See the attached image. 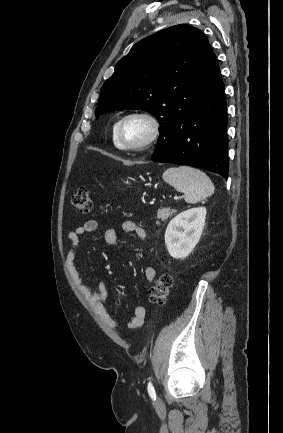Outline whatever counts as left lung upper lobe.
Returning <instances> with one entry per match:
<instances>
[{
    "instance_id": "5c2ea615",
    "label": "left lung upper lobe",
    "mask_w": 283,
    "mask_h": 433,
    "mask_svg": "<svg viewBox=\"0 0 283 433\" xmlns=\"http://www.w3.org/2000/svg\"><path fill=\"white\" fill-rule=\"evenodd\" d=\"M212 51L197 28L179 24L137 42L101 88L96 118L142 109L166 127L195 104L194 87Z\"/></svg>"
}]
</instances>
